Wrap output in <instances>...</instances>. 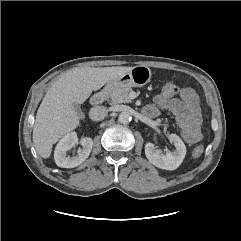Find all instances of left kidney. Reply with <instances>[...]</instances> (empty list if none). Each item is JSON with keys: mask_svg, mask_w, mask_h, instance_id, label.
Segmentation results:
<instances>
[{"mask_svg": "<svg viewBox=\"0 0 241 241\" xmlns=\"http://www.w3.org/2000/svg\"><path fill=\"white\" fill-rule=\"evenodd\" d=\"M169 140L174 144L176 150L173 152L161 153L153 143L145 144V155L150 163L160 169L175 170L183 162L186 155V146L176 134H171Z\"/></svg>", "mask_w": 241, "mask_h": 241, "instance_id": "left-kidney-1", "label": "left kidney"}]
</instances>
